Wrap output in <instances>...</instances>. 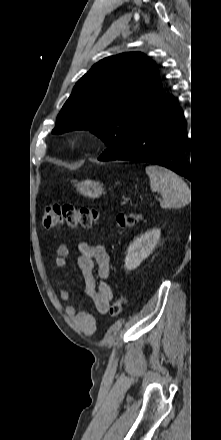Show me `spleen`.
Segmentation results:
<instances>
[{"instance_id": "obj_1", "label": "spleen", "mask_w": 221, "mask_h": 440, "mask_svg": "<svg viewBox=\"0 0 221 440\" xmlns=\"http://www.w3.org/2000/svg\"><path fill=\"white\" fill-rule=\"evenodd\" d=\"M153 192H160L162 208H179L188 204L190 189L188 185L173 171L160 166H147L145 169Z\"/></svg>"}]
</instances>
